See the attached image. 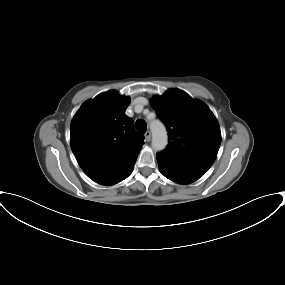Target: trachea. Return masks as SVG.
I'll use <instances>...</instances> for the list:
<instances>
[{
	"label": "trachea",
	"mask_w": 285,
	"mask_h": 285,
	"mask_svg": "<svg viewBox=\"0 0 285 285\" xmlns=\"http://www.w3.org/2000/svg\"><path fill=\"white\" fill-rule=\"evenodd\" d=\"M135 127L137 129V131L141 134L145 133L146 132V129H147V125H146V122L142 119H138L135 123Z\"/></svg>",
	"instance_id": "1"
}]
</instances>
